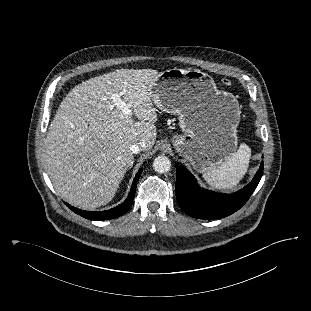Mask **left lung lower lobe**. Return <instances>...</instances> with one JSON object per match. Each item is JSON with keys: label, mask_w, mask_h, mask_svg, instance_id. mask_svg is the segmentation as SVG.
<instances>
[{"label": "left lung lower lobe", "mask_w": 311, "mask_h": 311, "mask_svg": "<svg viewBox=\"0 0 311 311\" xmlns=\"http://www.w3.org/2000/svg\"><path fill=\"white\" fill-rule=\"evenodd\" d=\"M263 174V162L254 179L233 194H221L200 188L194 176L184 167L176 169V197L188 215L198 219H220L239 210L252 195Z\"/></svg>", "instance_id": "left-lung-lower-lobe-1"}]
</instances>
